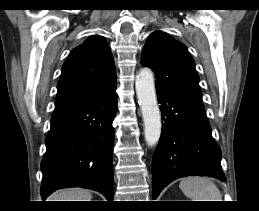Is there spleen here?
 <instances>
[{"label": "spleen", "mask_w": 259, "mask_h": 211, "mask_svg": "<svg viewBox=\"0 0 259 211\" xmlns=\"http://www.w3.org/2000/svg\"><path fill=\"white\" fill-rule=\"evenodd\" d=\"M179 187L191 201H222L219 188L207 177L190 176L183 178Z\"/></svg>", "instance_id": "1"}]
</instances>
